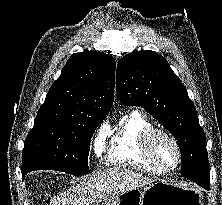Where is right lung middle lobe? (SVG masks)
Returning <instances> with one entry per match:
<instances>
[{"label":"right lung middle lobe","instance_id":"right-lung-middle-lobe-1","mask_svg":"<svg viewBox=\"0 0 222 205\" xmlns=\"http://www.w3.org/2000/svg\"><path fill=\"white\" fill-rule=\"evenodd\" d=\"M103 119L36 118L25 140L22 169L87 173L91 137Z\"/></svg>","mask_w":222,"mask_h":205}]
</instances>
